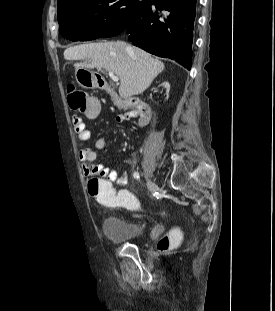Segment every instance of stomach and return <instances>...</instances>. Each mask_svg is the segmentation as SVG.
Instances as JSON below:
<instances>
[{"label":"stomach","instance_id":"obj_1","mask_svg":"<svg viewBox=\"0 0 275 311\" xmlns=\"http://www.w3.org/2000/svg\"><path fill=\"white\" fill-rule=\"evenodd\" d=\"M94 77H96V75H93L90 69L76 68L75 70V78L78 84L84 88H93L97 86V84H94Z\"/></svg>","mask_w":275,"mask_h":311}]
</instances>
